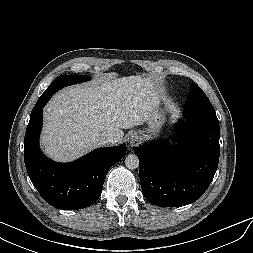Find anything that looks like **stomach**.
<instances>
[{"mask_svg": "<svg viewBox=\"0 0 253 253\" xmlns=\"http://www.w3.org/2000/svg\"><path fill=\"white\" fill-rule=\"evenodd\" d=\"M165 123V116L159 108V104L155 109L150 121L148 122V128L145 131H142L143 138H149L151 136H158L161 127Z\"/></svg>", "mask_w": 253, "mask_h": 253, "instance_id": "1", "label": "stomach"}]
</instances>
